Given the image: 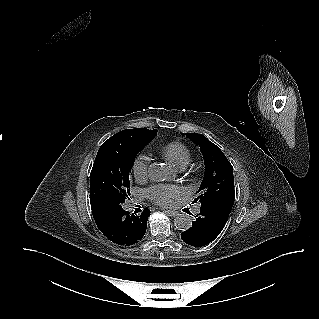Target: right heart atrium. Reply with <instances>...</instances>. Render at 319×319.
Wrapping results in <instances>:
<instances>
[{"mask_svg": "<svg viewBox=\"0 0 319 319\" xmlns=\"http://www.w3.org/2000/svg\"><path fill=\"white\" fill-rule=\"evenodd\" d=\"M132 171L136 180H145L149 172V157L144 153L138 154L133 160Z\"/></svg>", "mask_w": 319, "mask_h": 319, "instance_id": "obj_1", "label": "right heart atrium"}]
</instances>
